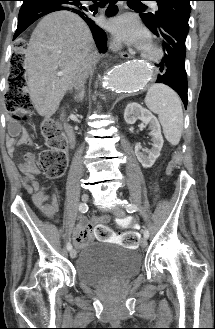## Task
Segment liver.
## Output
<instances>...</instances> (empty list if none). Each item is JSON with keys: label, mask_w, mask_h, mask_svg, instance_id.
Masks as SVG:
<instances>
[{"label": "liver", "mask_w": 215, "mask_h": 329, "mask_svg": "<svg viewBox=\"0 0 215 329\" xmlns=\"http://www.w3.org/2000/svg\"><path fill=\"white\" fill-rule=\"evenodd\" d=\"M95 50L87 24L75 13L45 16L34 29L25 55V76L37 113L46 118L74 86L79 69ZM59 72L63 75L58 76Z\"/></svg>", "instance_id": "6515ba94"}]
</instances>
